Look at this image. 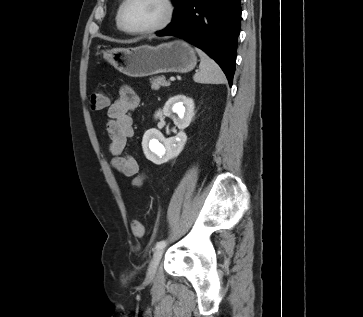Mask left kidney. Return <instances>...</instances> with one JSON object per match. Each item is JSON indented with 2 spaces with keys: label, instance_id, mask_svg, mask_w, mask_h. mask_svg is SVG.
<instances>
[{
  "label": "left kidney",
  "instance_id": "1",
  "mask_svg": "<svg viewBox=\"0 0 363 317\" xmlns=\"http://www.w3.org/2000/svg\"><path fill=\"white\" fill-rule=\"evenodd\" d=\"M194 108L192 98L185 95H176L165 103L162 110L155 113V119L163 115L172 118L180 132L176 136L166 139L155 128L147 130L143 136L142 147L148 160L155 164H163L181 153L187 140L183 130L190 125L194 116ZM173 113H177L178 117Z\"/></svg>",
  "mask_w": 363,
  "mask_h": 317
}]
</instances>
